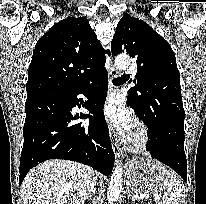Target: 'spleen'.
I'll use <instances>...</instances> for the list:
<instances>
[{
	"mask_svg": "<svg viewBox=\"0 0 206 204\" xmlns=\"http://www.w3.org/2000/svg\"><path fill=\"white\" fill-rule=\"evenodd\" d=\"M164 187L163 204H181L183 202L185 186L173 171H167Z\"/></svg>",
	"mask_w": 206,
	"mask_h": 204,
	"instance_id": "3e777b00",
	"label": "spleen"
}]
</instances>
